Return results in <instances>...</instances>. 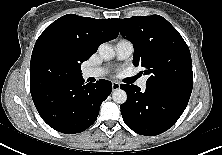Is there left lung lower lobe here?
Segmentation results:
<instances>
[{
	"mask_svg": "<svg viewBox=\"0 0 222 155\" xmlns=\"http://www.w3.org/2000/svg\"><path fill=\"white\" fill-rule=\"evenodd\" d=\"M127 101L120 106L124 122L136 133L159 135L171 128L185 110L189 99L146 87L122 84Z\"/></svg>",
	"mask_w": 222,
	"mask_h": 155,
	"instance_id": "obj_1",
	"label": "left lung lower lobe"
}]
</instances>
